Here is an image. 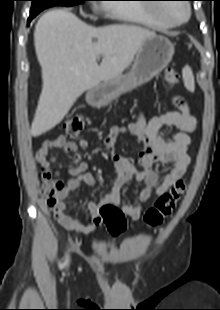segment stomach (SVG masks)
Returning a JSON list of instances; mask_svg holds the SVG:
<instances>
[{
  "instance_id": "obj_1",
  "label": "stomach",
  "mask_w": 220,
  "mask_h": 310,
  "mask_svg": "<svg viewBox=\"0 0 220 310\" xmlns=\"http://www.w3.org/2000/svg\"><path fill=\"white\" fill-rule=\"evenodd\" d=\"M174 46L168 38L155 35L147 38L139 48L129 73L104 81L90 89L86 99L92 106H103L120 95L149 82L171 61Z\"/></svg>"
}]
</instances>
